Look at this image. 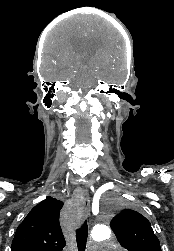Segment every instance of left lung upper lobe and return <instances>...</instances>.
I'll return each instance as SVG.
<instances>
[{"label":"left lung upper lobe","mask_w":174,"mask_h":251,"mask_svg":"<svg viewBox=\"0 0 174 251\" xmlns=\"http://www.w3.org/2000/svg\"><path fill=\"white\" fill-rule=\"evenodd\" d=\"M110 226L128 251H162L150 222L134 210H123Z\"/></svg>","instance_id":"left-lung-upper-lobe-1"}]
</instances>
